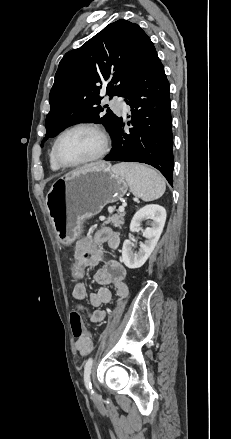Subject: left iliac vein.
I'll return each instance as SVG.
<instances>
[{"label":"left iliac vein","instance_id":"4c4485c4","mask_svg":"<svg viewBox=\"0 0 231 439\" xmlns=\"http://www.w3.org/2000/svg\"><path fill=\"white\" fill-rule=\"evenodd\" d=\"M92 397L95 398V397H96V394H95V393H92Z\"/></svg>","mask_w":231,"mask_h":439}]
</instances>
